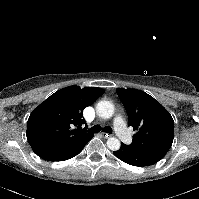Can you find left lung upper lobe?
<instances>
[{
	"label": "left lung upper lobe",
	"instance_id": "5c2ea615",
	"mask_svg": "<svg viewBox=\"0 0 199 199\" xmlns=\"http://www.w3.org/2000/svg\"><path fill=\"white\" fill-rule=\"evenodd\" d=\"M133 135L131 148L162 159L173 143L174 121L170 113L152 96L136 89L118 88Z\"/></svg>",
	"mask_w": 199,
	"mask_h": 199
}]
</instances>
